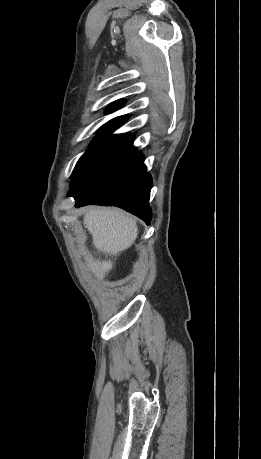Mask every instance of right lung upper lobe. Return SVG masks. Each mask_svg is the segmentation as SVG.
Here are the masks:
<instances>
[{
  "label": "right lung upper lobe",
  "mask_w": 261,
  "mask_h": 459,
  "mask_svg": "<svg viewBox=\"0 0 261 459\" xmlns=\"http://www.w3.org/2000/svg\"><path fill=\"white\" fill-rule=\"evenodd\" d=\"M122 106H123V102L117 101V102L113 103L111 106L108 107L107 113L113 112V111L121 108ZM127 119H128V117L126 115L114 118V119L110 120L109 122H107L106 124H104L99 129V131L105 130V129H110V128H117V127L121 126Z\"/></svg>",
  "instance_id": "1"
}]
</instances>
